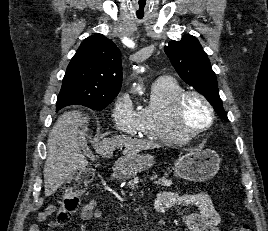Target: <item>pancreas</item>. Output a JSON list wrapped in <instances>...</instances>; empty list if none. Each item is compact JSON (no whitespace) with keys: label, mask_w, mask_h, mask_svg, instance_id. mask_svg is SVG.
<instances>
[{"label":"pancreas","mask_w":268,"mask_h":231,"mask_svg":"<svg viewBox=\"0 0 268 231\" xmlns=\"http://www.w3.org/2000/svg\"><path fill=\"white\" fill-rule=\"evenodd\" d=\"M157 179V175H154L151 177V180H155ZM139 182V178L138 177H134V179H132L128 185H130L132 188H134L137 183ZM155 184L160 185V186H164V187H169L172 185V180L171 179H167L166 177H162L159 178L158 180L155 181Z\"/></svg>","instance_id":"pancreas-1"}]
</instances>
